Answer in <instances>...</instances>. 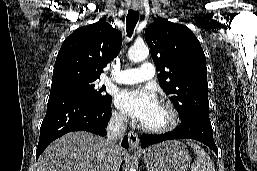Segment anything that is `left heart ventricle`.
Segmentation results:
<instances>
[{
	"label": "left heart ventricle",
	"instance_id": "b2bd125f",
	"mask_svg": "<svg viewBox=\"0 0 257 171\" xmlns=\"http://www.w3.org/2000/svg\"><path fill=\"white\" fill-rule=\"evenodd\" d=\"M170 119L169 113L162 106L157 104L152 113L148 118L143 122L147 126H162L168 123Z\"/></svg>",
	"mask_w": 257,
	"mask_h": 171
}]
</instances>
